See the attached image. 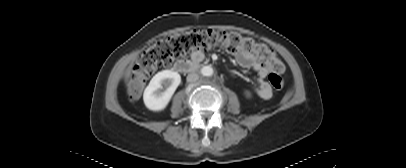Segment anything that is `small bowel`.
<instances>
[{
    "label": "small bowel",
    "mask_w": 406,
    "mask_h": 168,
    "mask_svg": "<svg viewBox=\"0 0 406 168\" xmlns=\"http://www.w3.org/2000/svg\"><path fill=\"white\" fill-rule=\"evenodd\" d=\"M204 55L202 52H195L192 55L193 61H201ZM237 65L242 69H253L257 72L258 86L254 88L255 93L262 99L272 97V89L266 82V76L271 70L269 65L263 64L252 54L234 53Z\"/></svg>",
    "instance_id": "1"
}]
</instances>
